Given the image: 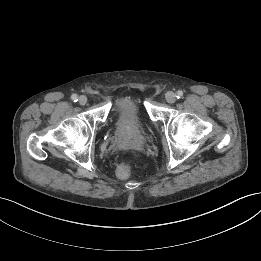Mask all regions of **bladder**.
<instances>
[{"mask_svg": "<svg viewBox=\"0 0 261 261\" xmlns=\"http://www.w3.org/2000/svg\"><path fill=\"white\" fill-rule=\"evenodd\" d=\"M113 124L116 131L126 137L135 136L144 129L141 105L135 97L126 95L114 102Z\"/></svg>", "mask_w": 261, "mask_h": 261, "instance_id": "31cf9c89", "label": "bladder"}]
</instances>
